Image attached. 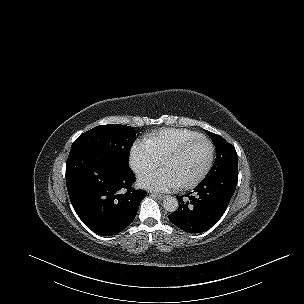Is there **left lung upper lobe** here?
I'll use <instances>...</instances> for the list:
<instances>
[{
	"label": "left lung upper lobe",
	"instance_id": "left-lung-upper-lobe-1",
	"mask_svg": "<svg viewBox=\"0 0 304 304\" xmlns=\"http://www.w3.org/2000/svg\"><path fill=\"white\" fill-rule=\"evenodd\" d=\"M211 137L216 148V160L204 179L216 176L230 169L238 168L237 153L235 148L223 137L206 131Z\"/></svg>",
	"mask_w": 304,
	"mask_h": 304
}]
</instances>
